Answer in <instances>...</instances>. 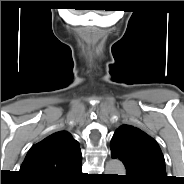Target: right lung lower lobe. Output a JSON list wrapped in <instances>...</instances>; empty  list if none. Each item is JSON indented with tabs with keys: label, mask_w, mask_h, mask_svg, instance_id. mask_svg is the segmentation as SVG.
Here are the masks:
<instances>
[{
	"label": "right lung lower lobe",
	"mask_w": 184,
	"mask_h": 184,
	"mask_svg": "<svg viewBox=\"0 0 184 184\" xmlns=\"http://www.w3.org/2000/svg\"><path fill=\"white\" fill-rule=\"evenodd\" d=\"M81 175V163L75 166L63 178L55 181H35L34 184H75L77 178Z\"/></svg>",
	"instance_id": "98d812e1"
}]
</instances>
